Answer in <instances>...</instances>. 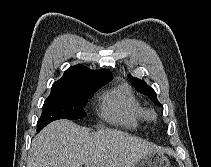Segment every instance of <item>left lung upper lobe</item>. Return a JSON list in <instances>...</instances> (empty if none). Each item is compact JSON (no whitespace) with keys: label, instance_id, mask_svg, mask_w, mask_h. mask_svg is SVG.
<instances>
[{"label":"left lung upper lobe","instance_id":"left-lung-upper-lobe-1","mask_svg":"<svg viewBox=\"0 0 211 167\" xmlns=\"http://www.w3.org/2000/svg\"><path fill=\"white\" fill-rule=\"evenodd\" d=\"M130 81L133 83V85L136 87V89L138 91H140L141 93L148 95L149 97H151V99L159 106H162L159 101L156 98V93L154 92V90L152 88H150L145 81L143 80H139L135 77H132L131 75H129Z\"/></svg>","mask_w":211,"mask_h":167}]
</instances>
